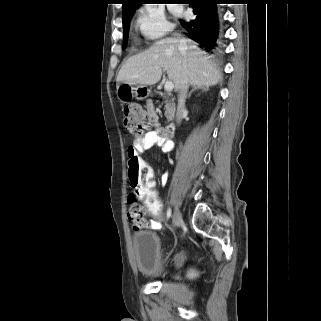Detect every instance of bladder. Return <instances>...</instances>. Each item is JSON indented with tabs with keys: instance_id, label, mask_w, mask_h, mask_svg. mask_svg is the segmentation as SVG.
Here are the masks:
<instances>
[{
	"instance_id": "bladder-1",
	"label": "bladder",
	"mask_w": 321,
	"mask_h": 321,
	"mask_svg": "<svg viewBox=\"0 0 321 321\" xmlns=\"http://www.w3.org/2000/svg\"><path fill=\"white\" fill-rule=\"evenodd\" d=\"M132 250L138 270L149 277L163 274L161 240L153 231H138L131 236Z\"/></svg>"
}]
</instances>
